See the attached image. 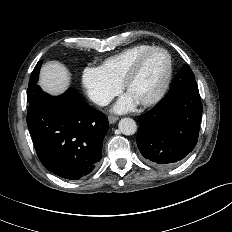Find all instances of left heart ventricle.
<instances>
[{
  "instance_id": "left-heart-ventricle-1",
  "label": "left heart ventricle",
  "mask_w": 232,
  "mask_h": 232,
  "mask_svg": "<svg viewBox=\"0 0 232 232\" xmlns=\"http://www.w3.org/2000/svg\"><path fill=\"white\" fill-rule=\"evenodd\" d=\"M167 66L168 59L165 53L157 51L147 56L128 86L127 93L138 102L154 96L163 84Z\"/></svg>"
}]
</instances>
